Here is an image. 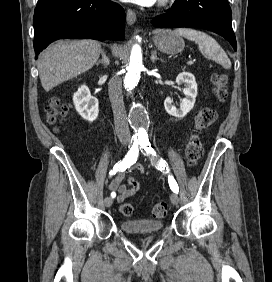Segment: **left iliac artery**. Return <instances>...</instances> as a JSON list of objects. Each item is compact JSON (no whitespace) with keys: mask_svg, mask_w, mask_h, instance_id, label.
Here are the masks:
<instances>
[{"mask_svg":"<svg viewBox=\"0 0 272 282\" xmlns=\"http://www.w3.org/2000/svg\"><path fill=\"white\" fill-rule=\"evenodd\" d=\"M140 145H141V148L144 149V151H146L147 153L151 154L152 156L156 157V152L154 151V149L151 147V144L148 140V138L146 139H142L140 141ZM156 163H157V166L160 170H166L167 172H169V169H168V166L166 164V162L163 160V159H158L156 158ZM168 183H169V186L171 188V190L174 192V193H178L179 191V187L177 185V182L175 181L174 177L173 176H170L168 177Z\"/></svg>","mask_w":272,"mask_h":282,"instance_id":"1","label":"left iliac artery"}]
</instances>
